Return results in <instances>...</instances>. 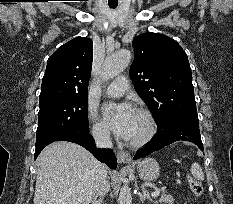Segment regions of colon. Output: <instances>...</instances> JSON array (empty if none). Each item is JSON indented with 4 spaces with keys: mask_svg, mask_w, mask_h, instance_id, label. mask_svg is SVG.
Returning <instances> with one entry per match:
<instances>
[{
    "mask_svg": "<svg viewBox=\"0 0 233 204\" xmlns=\"http://www.w3.org/2000/svg\"><path fill=\"white\" fill-rule=\"evenodd\" d=\"M187 182H188L191 192L195 196L199 197L203 194V185L201 184V182H199L197 179H195L194 177L190 175L187 176Z\"/></svg>",
    "mask_w": 233,
    "mask_h": 204,
    "instance_id": "5ec220e1",
    "label": "colon"
}]
</instances>
